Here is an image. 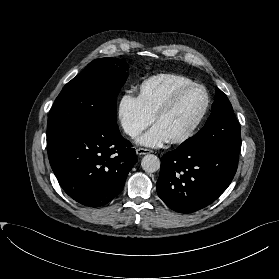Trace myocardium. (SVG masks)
<instances>
[{"mask_svg": "<svg viewBox=\"0 0 279 279\" xmlns=\"http://www.w3.org/2000/svg\"><path fill=\"white\" fill-rule=\"evenodd\" d=\"M195 88H199L204 91V93H205L204 106H203L200 114L196 118V120L193 122V124L189 127V129L186 132H184L182 135H180L178 137L168 139L169 142L172 144L184 143V142L188 141L197 132V130L199 129L203 120L205 119V117L208 113L209 107H210L211 100H210L209 91L207 90V88L204 85L198 84V83H191V84L182 86L171 95V97L166 101V103L154 115V122L157 124V122L162 117H164L165 115H167L168 113H170L173 110V108L176 106V104L178 103L180 98L183 96V94H185L189 90H192Z\"/></svg>", "mask_w": 279, "mask_h": 279, "instance_id": "myocardium-1", "label": "myocardium"}]
</instances>
